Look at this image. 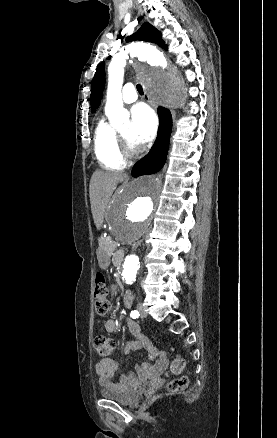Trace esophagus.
Listing matches in <instances>:
<instances>
[{"label": "esophagus", "instance_id": "34e87169", "mask_svg": "<svg viewBox=\"0 0 277 438\" xmlns=\"http://www.w3.org/2000/svg\"><path fill=\"white\" fill-rule=\"evenodd\" d=\"M144 98H146L147 100H149V96H148V94L145 92L144 93Z\"/></svg>", "mask_w": 277, "mask_h": 438}]
</instances>
